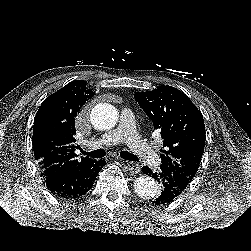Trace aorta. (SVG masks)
<instances>
[{
  "mask_svg": "<svg viewBox=\"0 0 251 251\" xmlns=\"http://www.w3.org/2000/svg\"><path fill=\"white\" fill-rule=\"evenodd\" d=\"M93 126L99 130H108L114 127L119 119L117 109L107 103L96 105L90 115ZM135 193L144 199H151L157 196L160 192L158 182L151 178L141 176L134 182Z\"/></svg>",
  "mask_w": 251,
  "mask_h": 251,
  "instance_id": "aorta-1",
  "label": "aorta"
}]
</instances>
